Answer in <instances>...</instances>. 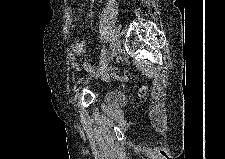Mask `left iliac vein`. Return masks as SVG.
I'll return each instance as SVG.
<instances>
[{"mask_svg":"<svg viewBox=\"0 0 225 159\" xmlns=\"http://www.w3.org/2000/svg\"><path fill=\"white\" fill-rule=\"evenodd\" d=\"M120 48H121V42H120V40H116L110 49L108 59L102 65L103 68L106 67L108 65L109 61L119 53ZM90 80H91V78L86 79L82 83V85L84 86V85L88 84ZM79 96H80V92L78 90V92L76 93V96H75V100L78 99Z\"/></svg>","mask_w":225,"mask_h":159,"instance_id":"4c4485c4","label":"left iliac vein"}]
</instances>
